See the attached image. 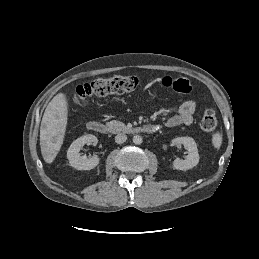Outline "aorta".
Listing matches in <instances>:
<instances>
[{"mask_svg": "<svg viewBox=\"0 0 259 259\" xmlns=\"http://www.w3.org/2000/svg\"><path fill=\"white\" fill-rule=\"evenodd\" d=\"M142 137L140 135H135L133 137V143L136 145H140L142 143Z\"/></svg>", "mask_w": 259, "mask_h": 259, "instance_id": "obj_1", "label": "aorta"}]
</instances>
